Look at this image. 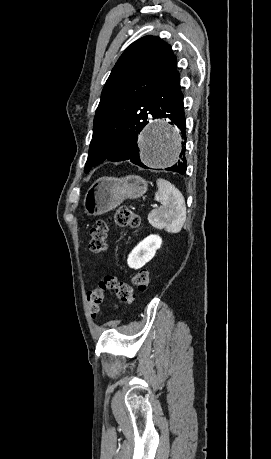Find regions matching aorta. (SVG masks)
Returning <instances> with one entry per match:
<instances>
[{"label": "aorta", "instance_id": "obj_1", "mask_svg": "<svg viewBox=\"0 0 271 459\" xmlns=\"http://www.w3.org/2000/svg\"><path fill=\"white\" fill-rule=\"evenodd\" d=\"M179 134L165 121H155L145 129L140 141L141 161L152 168L176 163L180 152Z\"/></svg>", "mask_w": 271, "mask_h": 459}]
</instances>
